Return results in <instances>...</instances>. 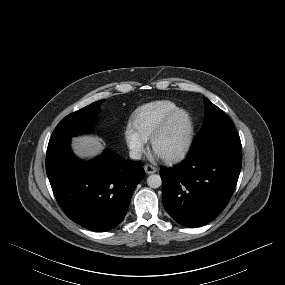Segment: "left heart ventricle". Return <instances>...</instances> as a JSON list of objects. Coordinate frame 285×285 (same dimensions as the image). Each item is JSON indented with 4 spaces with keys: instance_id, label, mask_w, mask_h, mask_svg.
Instances as JSON below:
<instances>
[{
    "instance_id": "b2bd125f",
    "label": "left heart ventricle",
    "mask_w": 285,
    "mask_h": 285,
    "mask_svg": "<svg viewBox=\"0 0 285 285\" xmlns=\"http://www.w3.org/2000/svg\"><path fill=\"white\" fill-rule=\"evenodd\" d=\"M189 129L188 119L184 114L177 115L165 133L156 143L159 156H171L178 153L184 146Z\"/></svg>"
}]
</instances>
